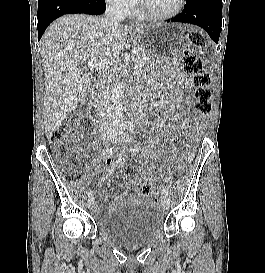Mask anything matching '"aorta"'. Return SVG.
Listing matches in <instances>:
<instances>
[{
	"mask_svg": "<svg viewBox=\"0 0 265 273\" xmlns=\"http://www.w3.org/2000/svg\"><path fill=\"white\" fill-rule=\"evenodd\" d=\"M124 87L125 84L123 82L115 85L110 97L112 115L118 126L123 125L126 119L123 107Z\"/></svg>",
	"mask_w": 265,
	"mask_h": 273,
	"instance_id": "obj_1",
	"label": "aorta"
}]
</instances>
